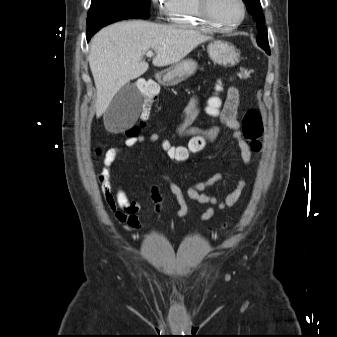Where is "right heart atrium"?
Returning <instances> with one entry per match:
<instances>
[{
	"mask_svg": "<svg viewBox=\"0 0 337 337\" xmlns=\"http://www.w3.org/2000/svg\"><path fill=\"white\" fill-rule=\"evenodd\" d=\"M157 7L159 14H166L169 0H151Z\"/></svg>",
	"mask_w": 337,
	"mask_h": 337,
	"instance_id": "right-heart-atrium-1",
	"label": "right heart atrium"
}]
</instances>
